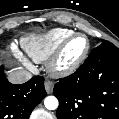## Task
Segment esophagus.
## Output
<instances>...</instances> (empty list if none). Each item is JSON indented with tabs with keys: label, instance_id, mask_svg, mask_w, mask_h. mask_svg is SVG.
<instances>
[{
	"label": "esophagus",
	"instance_id": "obj_1",
	"mask_svg": "<svg viewBox=\"0 0 119 119\" xmlns=\"http://www.w3.org/2000/svg\"><path fill=\"white\" fill-rule=\"evenodd\" d=\"M45 90L48 94L52 93L53 88H54V83L50 80H46L44 83Z\"/></svg>",
	"mask_w": 119,
	"mask_h": 119
}]
</instances>
